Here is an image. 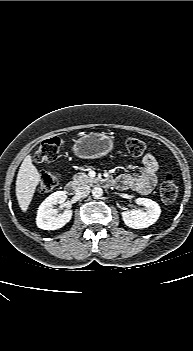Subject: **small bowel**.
I'll return each mask as SVG.
<instances>
[{
  "mask_svg": "<svg viewBox=\"0 0 193 351\" xmlns=\"http://www.w3.org/2000/svg\"><path fill=\"white\" fill-rule=\"evenodd\" d=\"M159 165L156 157L150 153L142 159V168L137 174H122L117 179V185L128 188L139 194L150 193L157 183Z\"/></svg>",
  "mask_w": 193,
  "mask_h": 351,
  "instance_id": "small-bowel-1",
  "label": "small bowel"
}]
</instances>
